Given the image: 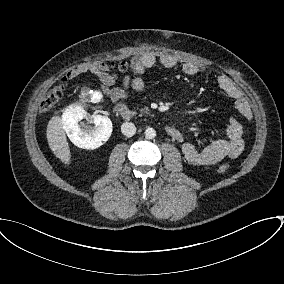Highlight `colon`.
Masks as SVG:
<instances>
[{"mask_svg":"<svg viewBox=\"0 0 284 284\" xmlns=\"http://www.w3.org/2000/svg\"><path fill=\"white\" fill-rule=\"evenodd\" d=\"M112 67L116 68L120 73H127L130 71V64L126 61H122L118 64H112ZM65 90V84L62 83L45 94L40 104V112L46 113L49 111L63 96ZM229 169V166L222 164L219 166L218 171L225 173Z\"/></svg>","mask_w":284,"mask_h":284,"instance_id":"colon-1","label":"colon"}]
</instances>
